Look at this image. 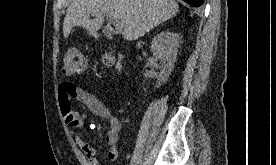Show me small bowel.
Here are the masks:
<instances>
[{
  "label": "small bowel",
  "instance_id": "obj_1",
  "mask_svg": "<svg viewBox=\"0 0 276 165\" xmlns=\"http://www.w3.org/2000/svg\"><path fill=\"white\" fill-rule=\"evenodd\" d=\"M58 91V101L62 117L75 143L83 151L88 165H102V163L95 149L83 140L80 130L85 124L86 115L77 112L73 108L72 102L74 100L82 102L92 114L108 122V129L105 133V141L109 146L107 158L110 161H115L118 158L117 143L121 131L120 120L94 94L71 82H61ZM97 127L95 123L90 124L91 130H96Z\"/></svg>",
  "mask_w": 276,
  "mask_h": 165
}]
</instances>
